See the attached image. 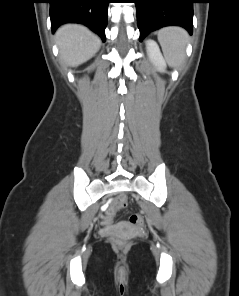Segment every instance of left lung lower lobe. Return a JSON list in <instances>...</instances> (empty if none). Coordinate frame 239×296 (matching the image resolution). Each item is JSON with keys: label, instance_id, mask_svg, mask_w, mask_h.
<instances>
[{"label": "left lung lower lobe", "instance_id": "left-lung-lower-lobe-1", "mask_svg": "<svg viewBox=\"0 0 239 296\" xmlns=\"http://www.w3.org/2000/svg\"><path fill=\"white\" fill-rule=\"evenodd\" d=\"M195 0H135L140 41L159 28L176 25L190 34Z\"/></svg>", "mask_w": 239, "mask_h": 296}]
</instances>
